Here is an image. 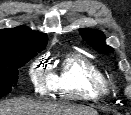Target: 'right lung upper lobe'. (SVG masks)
Returning <instances> with one entry per match:
<instances>
[{
    "mask_svg": "<svg viewBox=\"0 0 131 115\" xmlns=\"http://www.w3.org/2000/svg\"><path fill=\"white\" fill-rule=\"evenodd\" d=\"M46 34L34 31L27 26L0 30V65L22 52L43 50L47 45Z\"/></svg>",
    "mask_w": 131,
    "mask_h": 115,
    "instance_id": "right-lung-upper-lobe-1",
    "label": "right lung upper lobe"
}]
</instances>
